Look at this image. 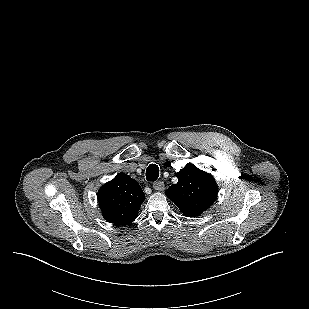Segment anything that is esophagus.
<instances>
[{"label":"esophagus","instance_id":"34e87169","mask_svg":"<svg viewBox=\"0 0 309 309\" xmlns=\"http://www.w3.org/2000/svg\"><path fill=\"white\" fill-rule=\"evenodd\" d=\"M153 188L157 191H163L164 190V183L162 181H156L153 183Z\"/></svg>","mask_w":309,"mask_h":309}]
</instances>
